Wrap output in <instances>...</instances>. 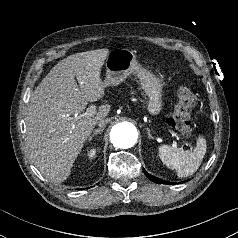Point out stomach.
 <instances>
[{"label":"stomach","instance_id":"obj_1","mask_svg":"<svg viewBox=\"0 0 238 238\" xmlns=\"http://www.w3.org/2000/svg\"><path fill=\"white\" fill-rule=\"evenodd\" d=\"M106 86H117L129 75L136 74L141 88L147 96L146 107L151 115H158L163 107V81L152 72L144 69L136 55L129 49H114L106 58Z\"/></svg>","mask_w":238,"mask_h":238}]
</instances>
